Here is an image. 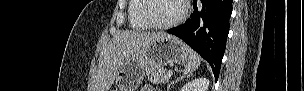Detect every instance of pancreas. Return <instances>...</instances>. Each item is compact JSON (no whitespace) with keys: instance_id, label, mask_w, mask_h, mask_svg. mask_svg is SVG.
<instances>
[{"instance_id":"1","label":"pancreas","mask_w":304,"mask_h":91,"mask_svg":"<svg viewBox=\"0 0 304 91\" xmlns=\"http://www.w3.org/2000/svg\"><path fill=\"white\" fill-rule=\"evenodd\" d=\"M146 78L150 83L165 84L168 82L167 70L163 67H149Z\"/></svg>"}]
</instances>
